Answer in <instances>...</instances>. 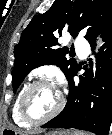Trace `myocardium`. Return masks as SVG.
Segmentation results:
<instances>
[{
  "instance_id": "obj_1",
  "label": "myocardium",
  "mask_w": 112,
  "mask_h": 135,
  "mask_svg": "<svg viewBox=\"0 0 112 135\" xmlns=\"http://www.w3.org/2000/svg\"><path fill=\"white\" fill-rule=\"evenodd\" d=\"M40 85L55 86L54 83L49 79H45V78L37 79L27 85L20 98V103H19L20 115L25 121L31 124H39L55 118L63 110L65 105V97L62 94V92L58 90L60 98L57 107L47 115L44 116L34 115L29 109L28 100L31 92Z\"/></svg>"
}]
</instances>
